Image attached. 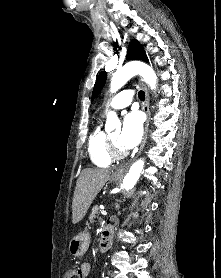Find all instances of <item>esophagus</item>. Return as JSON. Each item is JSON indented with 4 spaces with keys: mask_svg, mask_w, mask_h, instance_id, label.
I'll return each mask as SVG.
<instances>
[{
    "mask_svg": "<svg viewBox=\"0 0 221 278\" xmlns=\"http://www.w3.org/2000/svg\"><path fill=\"white\" fill-rule=\"evenodd\" d=\"M142 85H143V88H144V91H145V101L143 103V110L145 111L147 118H146V123H145V127H144V135H143V139H142V142H141V145H140L138 155L142 152V150L145 146L147 136H148L149 122H150L149 92H148V89H147L146 85L143 82H142ZM128 168H129V164L121 166L114 172V175L123 176L126 173Z\"/></svg>",
    "mask_w": 221,
    "mask_h": 278,
    "instance_id": "obj_1",
    "label": "esophagus"
}]
</instances>
